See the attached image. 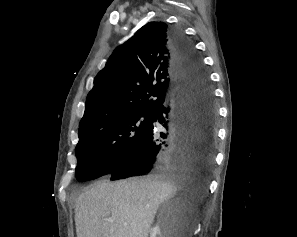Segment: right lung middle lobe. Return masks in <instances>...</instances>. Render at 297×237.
<instances>
[{
    "label": "right lung middle lobe",
    "instance_id": "right-lung-middle-lobe-1",
    "mask_svg": "<svg viewBox=\"0 0 297 237\" xmlns=\"http://www.w3.org/2000/svg\"><path fill=\"white\" fill-rule=\"evenodd\" d=\"M154 112H136L98 121L79 134L76 177L87 181L108 174L113 165L144 139Z\"/></svg>",
    "mask_w": 297,
    "mask_h": 237
}]
</instances>
